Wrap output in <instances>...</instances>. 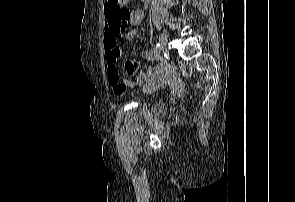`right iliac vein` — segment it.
I'll return each mask as SVG.
<instances>
[{
	"label": "right iliac vein",
	"mask_w": 295,
	"mask_h": 202,
	"mask_svg": "<svg viewBox=\"0 0 295 202\" xmlns=\"http://www.w3.org/2000/svg\"><path fill=\"white\" fill-rule=\"evenodd\" d=\"M159 42H160V44H161V46H162L163 48H166L167 43H168V37H167V35L164 34V33H161V34L159 35Z\"/></svg>",
	"instance_id": "1"
}]
</instances>
